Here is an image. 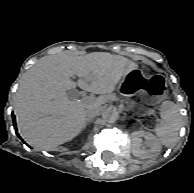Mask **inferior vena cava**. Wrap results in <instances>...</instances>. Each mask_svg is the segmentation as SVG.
Masks as SVG:
<instances>
[{
  "instance_id": "1",
  "label": "inferior vena cava",
  "mask_w": 194,
  "mask_h": 193,
  "mask_svg": "<svg viewBox=\"0 0 194 193\" xmlns=\"http://www.w3.org/2000/svg\"><path fill=\"white\" fill-rule=\"evenodd\" d=\"M98 114H99V110L89 109L86 111V120H88V119L91 120L92 118H94Z\"/></svg>"
}]
</instances>
